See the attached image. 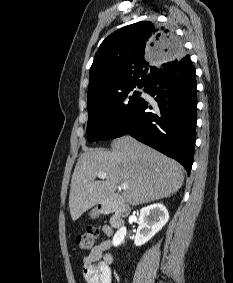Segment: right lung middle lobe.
<instances>
[{
  "instance_id": "dd1d6c3e",
  "label": "right lung middle lobe",
  "mask_w": 233,
  "mask_h": 283,
  "mask_svg": "<svg viewBox=\"0 0 233 283\" xmlns=\"http://www.w3.org/2000/svg\"><path fill=\"white\" fill-rule=\"evenodd\" d=\"M136 86L112 93L88 106V138L90 142L108 140L140 101ZM141 88L142 86H138Z\"/></svg>"
}]
</instances>
